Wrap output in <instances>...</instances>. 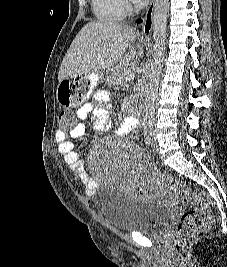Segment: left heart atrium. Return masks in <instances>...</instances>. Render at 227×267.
I'll use <instances>...</instances> for the list:
<instances>
[{"label":"left heart atrium","mask_w":227,"mask_h":267,"mask_svg":"<svg viewBox=\"0 0 227 267\" xmlns=\"http://www.w3.org/2000/svg\"><path fill=\"white\" fill-rule=\"evenodd\" d=\"M137 5H144L148 2V0H132Z\"/></svg>","instance_id":"1"}]
</instances>
